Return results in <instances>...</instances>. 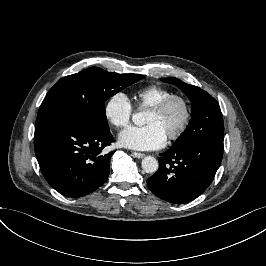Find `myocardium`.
Returning a JSON list of instances; mask_svg holds the SVG:
<instances>
[{
  "instance_id": "obj_1",
  "label": "myocardium",
  "mask_w": 266,
  "mask_h": 266,
  "mask_svg": "<svg viewBox=\"0 0 266 266\" xmlns=\"http://www.w3.org/2000/svg\"><path fill=\"white\" fill-rule=\"evenodd\" d=\"M175 102H180L184 107V118L179 127L174 131L167 135L170 140H177L179 139L189 127L191 120H192V106L189 99L181 94L173 93L159 103L150 107V110L158 112V113H165L172 104Z\"/></svg>"
}]
</instances>
